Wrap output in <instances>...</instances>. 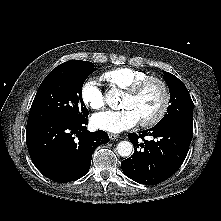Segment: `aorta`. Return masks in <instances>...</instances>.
Listing matches in <instances>:
<instances>
[{
    "mask_svg": "<svg viewBox=\"0 0 221 221\" xmlns=\"http://www.w3.org/2000/svg\"><path fill=\"white\" fill-rule=\"evenodd\" d=\"M120 91L117 89H111L107 92L105 96V102L112 109L118 108V103L120 100ZM133 145L129 141H121L117 145V152L122 157H128L132 154Z\"/></svg>",
    "mask_w": 221,
    "mask_h": 221,
    "instance_id": "obj_1",
    "label": "aorta"
}]
</instances>
